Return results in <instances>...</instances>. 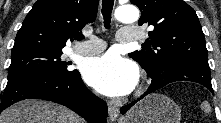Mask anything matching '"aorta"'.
<instances>
[{
	"label": "aorta",
	"instance_id": "aorta-1",
	"mask_svg": "<svg viewBox=\"0 0 221 123\" xmlns=\"http://www.w3.org/2000/svg\"><path fill=\"white\" fill-rule=\"evenodd\" d=\"M114 17L121 23H134L139 19V11L135 6L124 5L115 10Z\"/></svg>",
	"mask_w": 221,
	"mask_h": 123
}]
</instances>
